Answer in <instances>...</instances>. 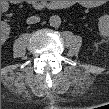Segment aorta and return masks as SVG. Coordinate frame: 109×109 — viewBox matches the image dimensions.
I'll return each instance as SVG.
<instances>
[{"mask_svg":"<svg viewBox=\"0 0 109 109\" xmlns=\"http://www.w3.org/2000/svg\"><path fill=\"white\" fill-rule=\"evenodd\" d=\"M49 24L52 27H59L61 25V18L58 15H52L49 18Z\"/></svg>","mask_w":109,"mask_h":109,"instance_id":"obj_1","label":"aorta"}]
</instances>
